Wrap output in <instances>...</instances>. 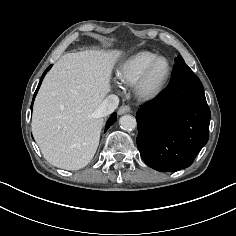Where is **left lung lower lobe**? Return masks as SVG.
<instances>
[{
	"mask_svg": "<svg viewBox=\"0 0 236 236\" xmlns=\"http://www.w3.org/2000/svg\"><path fill=\"white\" fill-rule=\"evenodd\" d=\"M210 116L199 78L184 61L176 63L168 88L136 113L145 163L162 172L189 167L208 141Z\"/></svg>",
	"mask_w": 236,
	"mask_h": 236,
	"instance_id": "0a47b994",
	"label": "left lung lower lobe"
}]
</instances>
